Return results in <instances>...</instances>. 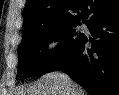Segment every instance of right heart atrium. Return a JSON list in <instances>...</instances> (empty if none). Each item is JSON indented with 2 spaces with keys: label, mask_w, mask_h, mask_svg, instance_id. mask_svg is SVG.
<instances>
[{
  "label": "right heart atrium",
  "mask_w": 119,
  "mask_h": 95,
  "mask_svg": "<svg viewBox=\"0 0 119 95\" xmlns=\"http://www.w3.org/2000/svg\"><path fill=\"white\" fill-rule=\"evenodd\" d=\"M57 45V41L55 39H51L49 42H48V48L49 49H54Z\"/></svg>",
  "instance_id": "1"
}]
</instances>
